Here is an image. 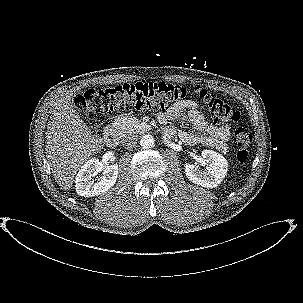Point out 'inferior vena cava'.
Instances as JSON below:
<instances>
[{"label":"inferior vena cava","instance_id":"602c4592","mask_svg":"<svg viewBox=\"0 0 303 303\" xmlns=\"http://www.w3.org/2000/svg\"><path fill=\"white\" fill-rule=\"evenodd\" d=\"M122 142L125 147L132 148L137 144V137L133 134H128L123 138Z\"/></svg>","mask_w":303,"mask_h":303}]
</instances>
